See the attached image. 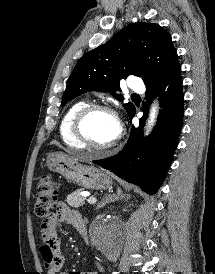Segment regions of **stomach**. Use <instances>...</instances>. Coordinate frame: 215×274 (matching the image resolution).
<instances>
[{
    "instance_id": "1",
    "label": "stomach",
    "mask_w": 215,
    "mask_h": 274,
    "mask_svg": "<svg viewBox=\"0 0 215 274\" xmlns=\"http://www.w3.org/2000/svg\"><path fill=\"white\" fill-rule=\"evenodd\" d=\"M46 165L49 170L61 174L86 189L103 190L112 184L110 177L102 170L83 165L77 159L62 152L49 154Z\"/></svg>"
}]
</instances>
